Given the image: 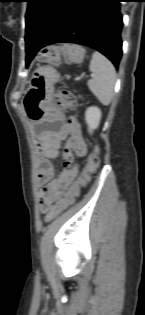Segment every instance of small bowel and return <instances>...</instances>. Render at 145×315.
I'll use <instances>...</instances> for the list:
<instances>
[{
    "label": "small bowel",
    "mask_w": 145,
    "mask_h": 315,
    "mask_svg": "<svg viewBox=\"0 0 145 315\" xmlns=\"http://www.w3.org/2000/svg\"><path fill=\"white\" fill-rule=\"evenodd\" d=\"M67 145L62 153V170L59 175L54 178V167L51 159H55L59 155L61 142L68 136ZM38 147L37 153V180L42 185L40 193V205L43 211L47 212L46 219H51V210L56 201L67 191L77 188L82 183L75 180L79 173V168L74 165L67 169L71 162L73 153L78 157H83L87 153V145L84 142L80 131L77 127L75 118H68L64 126L57 132H47L39 141L35 142Z\"/></svg>",
    "instance_id": "small-bowel-1"
}]
</instances>
